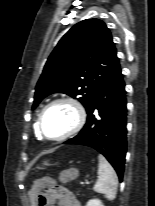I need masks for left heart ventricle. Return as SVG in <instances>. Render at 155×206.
<instances>
[{
  "instance_id": "left-heart-ventricle-1",
  "label": "left heart ventricle",
  "mask_w": 155,
  "mask_h": 206,
  "mask_svg": "<svg viewBox=\"0 0 155 206\" xmlns=\"http://www.w3.org/2000/svg\"><path fill=\"white\" fill-rule=\"evenodd\" d=\"M75 115L67 105L51 108L42 122L43 133L48 137H58L67 132L74 124Z\"/></svg>"
}]
</instances>
